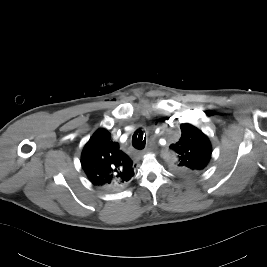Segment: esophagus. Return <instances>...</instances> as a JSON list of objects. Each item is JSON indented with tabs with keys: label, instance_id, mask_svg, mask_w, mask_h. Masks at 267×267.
Segmentation results:
<instances>
[{
	"label": "esophagus",
	"instance_id": "esophagus-1",
	"mask_svg": "<svg viewBox=\"0 0 267 267\" xmlns=\"http://www.w3.org/2000/svg\"><path fill=\"white\" fill-rule=\"evenodd\" d=\"M146 152V150H143V151H141V154H144Z\"/></svg>",
	"mask_w": 267,
	"mask_h": 267
}]
</instances>
